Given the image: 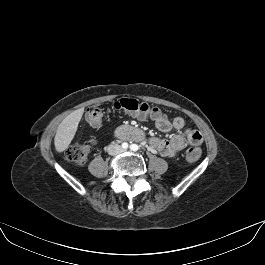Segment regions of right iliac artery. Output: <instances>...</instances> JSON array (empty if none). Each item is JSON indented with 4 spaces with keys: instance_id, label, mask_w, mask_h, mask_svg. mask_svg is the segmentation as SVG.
I'll list each match as a JSON object with an SVG mask.
<instances>
[{
    "instance_id": "82829eb1",
    "label": "right iliac artery",
    "mask_w": 265,
    "mask_h": 265,
    "mask_svg": "<svg viewBox=\"0 0 265 265\" xmlns=\"http://www.w3.org/2000/svg\"><path fill=\"white\" fill-rule=\"evenodd\" d=\"M122 147H123L124 149H127V148H128V143H123V144H122Z\"/></svg>"
}]
</instances>
